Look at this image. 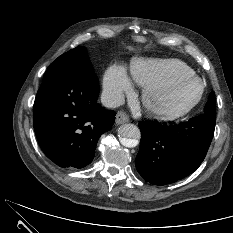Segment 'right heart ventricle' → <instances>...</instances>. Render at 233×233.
<instances>
[{"label":"right heart ventricle","instance_id":"e07e8e85","mask_svg":"<svg viewBox=\"0 0 233 233\" xmlns=\"http://www.w3.org/2000/svg\"><path fill=\"white\" fill-rule=\"evenodd\" d=\"M130 74L138 85L146 87L181 75H192L194 71L177 59L137 58L130 64Z\"/></svg>","mask_w":233,"mask_h":233}]
</instances>
